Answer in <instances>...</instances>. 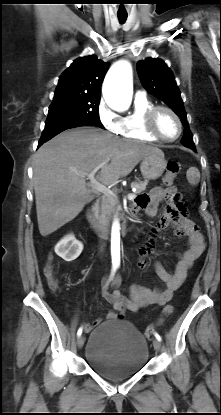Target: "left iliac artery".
<instances>
[{
	"label": "left iliac artery",
	"mask_w": 221,
	"mask_h": 415,
	"mask_svg": "<svg viewBox=\"0 0 221 415\" xmlns=\"http://www.w3.org/2000/svg\"><path fill=\"white\" fill-rule=\"evenodd\" d=\"M154 336L156 337V339H158L159 341H161V336L157 332L154 333Z\"/></svg>",
	"instance_id": "left-iliac-artery-1"
}]
</instances>
